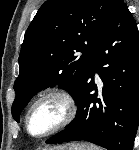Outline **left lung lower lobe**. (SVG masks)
Listing matches in <instances>:
<instances>
[{
  "instance_id": "0a47b994",
  "label": "left lung lower lobe",
  "mask_w": 139,
  "mask_h": 150,
  "mask_svg": "<svg viewBox=\"0 0 139 150\" xmlns=\"http://www.w3.org/2000/svg\"><path fill=\"white\" fill-rule=\"evenodd\" d=\"M95 72L104 83L99 94ZM74 100L76 117L47 144L84 140L108 150L133 149L139 121V32L122 0L113 3L88 74Z\"/></svg>"
}]
</instances>
